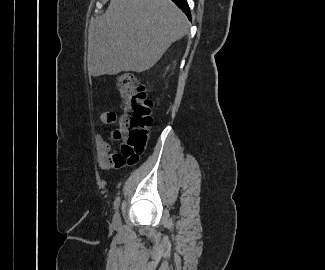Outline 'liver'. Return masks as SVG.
<instances>
[{"label": "liver", "mask_w": 325, "mask_h": 270, "mask_svg": "<svg viewBox=\"0 0 325 270\" xmlns=\"http://www.w3.org/2000/svg\"><path fill=\"white\" fill-rule=\"evenodd\" d=\"M187 31L186 16L171 0H111L90 22L89 74L149 70Z\"/></svg>", "instance_id": "obj_1"}]
</instances>
